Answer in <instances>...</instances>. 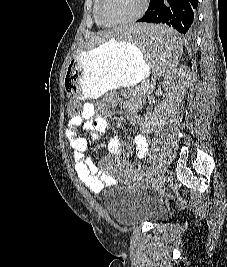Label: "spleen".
<instances>
[{
    "label": "spleen",
    "mask_w": 227,
    "mask_h": 267,
    "mask_svg": "<svg viewBox=\"0 0 227 267\" xmlns=\"http://www.w3.org/2000/svg\"><path fill=\"white\" fill-rule=\"evenodd\" d=\"M117 30L122 33L116 36V41L140 47L144 59L151 63V77H172L183 47L171 29L160 23L123 22V25H117Z\"/></svg>",
    "instance_id": "spleen-1"
}]
</instances>
